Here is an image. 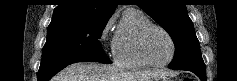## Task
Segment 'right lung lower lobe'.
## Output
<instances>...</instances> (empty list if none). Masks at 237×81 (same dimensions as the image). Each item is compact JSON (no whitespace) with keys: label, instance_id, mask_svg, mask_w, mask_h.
<instances>
[{"label":"right lung lower lobe","instance_id":"98d812e1","mask_svg":"<svg viewBox=\"0 0 237 81\" xmlns=\"http://www.w3.org/2000/svg\"><path fill=\"white\" fill-rule=\"evenodd\" d=\"M95 61L107 63L101 59L94 57H64V58H47L42 59L37 74L38 81H49L56 73L65 68L67 65L76 62Z\"/></svg>","mask_w":237,"mask_h":81}]
</instances>
